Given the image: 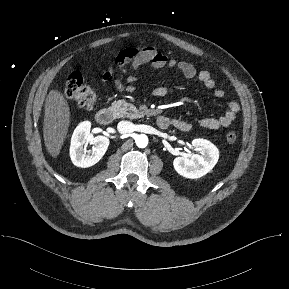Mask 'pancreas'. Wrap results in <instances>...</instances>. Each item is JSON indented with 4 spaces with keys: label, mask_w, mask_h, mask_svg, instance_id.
I'll return each mask as SVG.
<instances>
[{
    "label": "pancreas",
    "mask_w": 289,
    "mask_h": 289,
    "mask_svg": "<svg viewBox=\"0 0 289 289\" xmlns=\"http://www.w3.org/2000/svg\"><path fill=\"white\" fill-rule=\"evenodd\" d=\"M110 108L117 118L127 117L137 119L141 117L139 110L125 100L114 101Z\"/></svg>",
    "instance_id": "pancreas-1"
}]
</instances>
